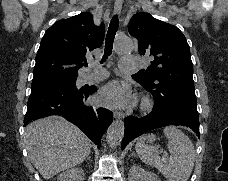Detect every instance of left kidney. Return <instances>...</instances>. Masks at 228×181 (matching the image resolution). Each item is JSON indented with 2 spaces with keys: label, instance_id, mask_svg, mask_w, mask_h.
<instances>
[{
  "label": "left kidney",
  "instance_id": "obj_1",
  "mask_svg": "<svg viewBox=\"0 0 228 181\" xmlns=\"http://www.w3.org/2000/svg\"><path fill=\"white\" fill-rule=\"evenodd\" d=\"M128 181H160V179L154 173H147L141 167H131Z\"/></svg>",
  "mask_w": 228,
  "mask_h": 181
}]
</instances>
